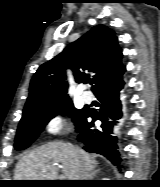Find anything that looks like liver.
<instances>
[{"label":"liver","mask_w":160,"mask_h":187,"mask_svg":"<svg viewBox=\"0 0 160 187\" xmlns=\"http://www.w3.org/2000/svg\"><path fill=\"white\" fill-rule=\"evenodd\" d=\"M67 180H81L82 172L93 170L94 156L64 142H49L24 155L15 168V180H57L58 166Z\"/></svg>","instance_id":"liver-1"}]
</instances>
